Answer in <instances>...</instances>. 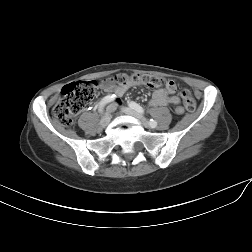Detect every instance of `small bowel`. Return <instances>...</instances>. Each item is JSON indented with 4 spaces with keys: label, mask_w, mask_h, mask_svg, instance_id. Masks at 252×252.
I'll list each match as a JSON object with an SVG mask.
<instances>
[{
    "label": "small bowel",
    "mask_w": 252,
    "mask_h": 252,
    "mask_svg": "<svg viewBox=\"0 0 252 252\" xmlns=\"http://www.w3.org/2000/svg\"><path fill=\"white\" fill-rule=\"evenodd\" d=\"M139 83H129L125 86H119L116 85L110 81H105L102 83V88L107 92H112L115 94V96H122L124 92L131 86L138 85ZM176 88L170 90L169 88L164 89H158L156 90L152 98L149 102V105L152 107H158V106H166L168 104L172 105H179L180 104V98L175 95ZM177 110H180V108H177Z\"/></svg>",
    "instance_id": "small-bowel-1"
}]
</instances>
